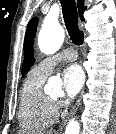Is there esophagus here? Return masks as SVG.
Returning a JSON list of instances; mask_svg holds the SVG:
<instances>
[{
  "mask_svg": "<svg viewBox=\"0 0 116 134\" xmlns=\"http://www.w3.org/2000/svg\"><path fill=\"white\" fill-rule=\"evenodd\" d=\"M84 91L81 92V95L79 96V98L77 99L75 105L73 106V108L71 109L70 113L67 115V117L62 121L61 123V128H63L64 126H66V124L68 123V121L70 120V118L76 113V111L78 110L80 104H81V99L83 96Z\"/></svg>",
  "mask_w": 116,
  "mask_h": 134,
  "instance_id": "34e87169",
  "label": "esophagus"
}]
</instances>
